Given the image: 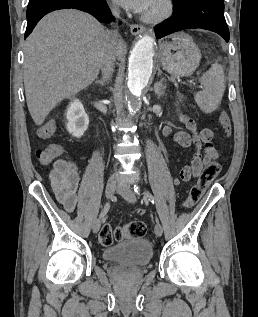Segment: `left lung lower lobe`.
Masks as SVG:
<instances>
[{
	"mask_svg": "<svg viewBox=\"0 0 258 317\" xmlns=\"http://www.w3.org/2000/svg\"><path fill=\"white\" fill-rule=\"evenodd\" d=\"M173 10V17L155 27L157 38L184 29L201 28L216 32L229 41L223 0H186L174 5Z\"/></svg>",
	"mask_w": 258,
	"mask_h": 317,
	"instance_id": "obj_1",
	"label": "left lung lower lobe"
}]
</instances>
